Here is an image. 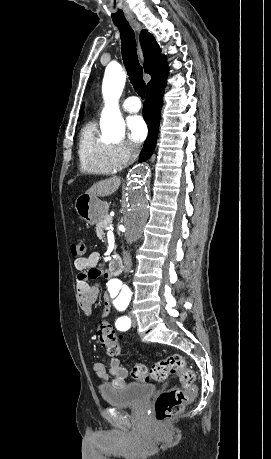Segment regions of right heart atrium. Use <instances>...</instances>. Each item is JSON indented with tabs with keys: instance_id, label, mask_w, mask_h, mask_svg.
I'll list each match as a JSON object with an SVG mask.
<instances>
[{
	"instance_id": "obj_1",
	"label": "right heart atrium",
	"mask_w": 271,
	"mask_h": 459,
	"mask_svg": "<svg viewBox=\"0 0 271 459\" xmlns=\"http://www.w3.org/2000/svg\"><path fill=\"white\" fill-rule=\"evenodd\" d=\"M113 153L122 166L133 162L138 157L139 148L128 141H121L113 144Z\"/></svg>"
}]
</instances>
